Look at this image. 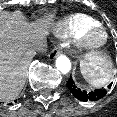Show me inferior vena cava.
<instances>
[{"mask_svg": "<svg viewBox=\"0 0 117 117\" xmlns=\"http://www.w3.org/2000/svg\"><path fill=\"white\" fill-rule=\"evenodd\" d=\"M46 50H47V44H46L45 41H42V42L38 43V44L34 47V54H35L36 52H41V53H43V52H45Z\"/></svg>", "mask_w": 117, "mask_h": 117, "instance_id": "obj_1", "label": "inferior vena cava"}]
</instances>
